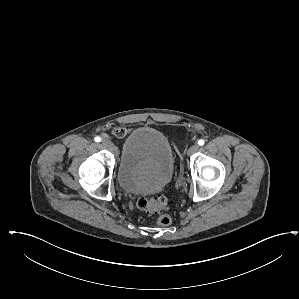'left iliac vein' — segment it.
<instances>
[{
    "label": "left iliac vein",
    "mask_w": 299,
    "mask_h": 299,
    "mask_svg": "<svg viewBox=\"0 0 299 299\" xmlns=\"http://www.w3.org/2000/svg\"><path fill=\"white\" fill-rule=\"evenodd\" d=\"M199 149V145L197 143H194L187 151L188 155H192L195 152H197Z\"/></svg>",
    "instance_id": "left-iliac-vein-1"
}]
</instances>
